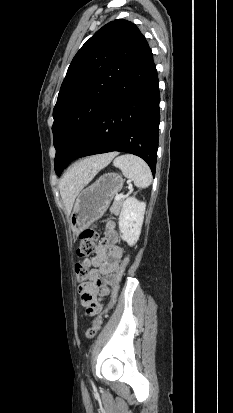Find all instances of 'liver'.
<instances>
[{
  "label": "liver",
  "instance_id": "6515ba94",
  "mask_svg": "<svg viewBox=\"0 0 233 413\" xmlns=\"http://www.w3.org/2000/svg\"><path fill=\"white\" fill-rule=\"evenodd\" d=\"M117 155L116 152L86 158L76 163L59 182L60 194L65 204L66 213H71L74 201L80 191L94 176Z\"/></svg>",
  "mask_w": 233,
  "mask_h": 413
}]
</instances>
